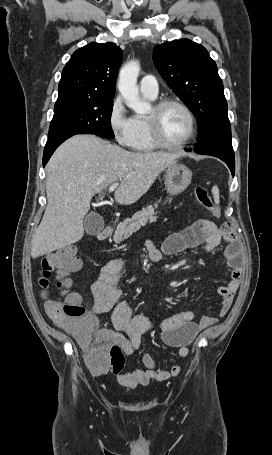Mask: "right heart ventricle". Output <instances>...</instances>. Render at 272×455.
Segmentation results:
<instances>
[{"instance_id": "e07e8e85", "label": "right heart ventricle", "mask_w": 272, "mask_h": 455, "mask_svg": "<svg viewBox=\"0 0 272 455\" xmlns=\"http://www.w3.org/2000/svg\"><path fill=\"white\" fill-rule=\"evenodd\" d=\"M150 100L155 98L144 95ZM134 133L130 144V147L137 152H151L154 151L157 146L152 142L147 121L145 117L135 116L133 117Z\"/></svg>"}]
</instances>
